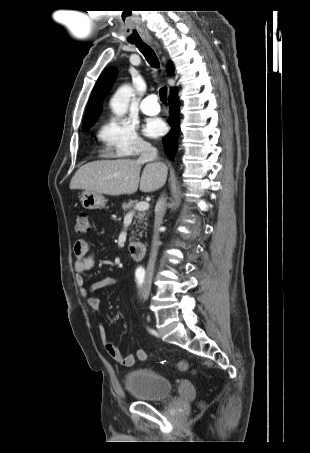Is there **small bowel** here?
<instances>
[{
	"label": "small bowel",
	"instance_id": "c3829d8e",
	"mask_svg": "<svg viewBox=\"0 0 310 453\" xmlns=\"http://www.w3.org/2000/svg\"><path fill=\"white\" fill-rule=\"evenodd\" d=\"M73 268L75 271L76 284L80 289V294L88 299L89 306L95 310H100L101 302L99 298L92 294L98 290L114 286L116 279L114 277H104L92 282L88 287H85L84 273L90 270L94 265V256L91 253L90 244L84 239H79L75 242ZM99 338L107 354L118 364L125 367H132L137 361H144L147 354L144 349H137L133 354L124 355L122 352L108 339L106 329L103 325L98 326Z\"/></svg>",
	"mask_w": 310,
	"mask_h": 453
}]
</instances>
